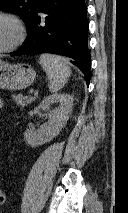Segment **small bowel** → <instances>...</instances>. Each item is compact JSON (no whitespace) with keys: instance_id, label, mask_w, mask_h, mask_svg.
Segmentation results:
<instances>
[{"instance_id":"1","label":"small bowel","mask_w":128,"mask_h":213,"mask_svg":"<svg viewBox=\"0 0 128 213\" xmlns=\"http://www.w3.org/2000/svg\"><path fill=\"white\" fill-rule=\"evenodd\" d=\"M3 107V100L0 98V109Z\"/></svg>"}]
</instances>
